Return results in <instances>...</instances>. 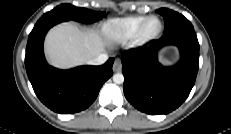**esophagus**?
<instances>
[{"instance_id":"34e87169","label":"esophagus","mask_w":231,"mask_h":134,"mask_svg":"<svg viewBox=\"0 0 231 134\" xmlns=\"http://www.w3.org/2000/svg\"><path fill=\"white\" fill-rule=\"evenodd\" d=\"M121 69H122L121 61L119 59H116L114 64H113V71L114 72H120Z\"/></svg>"}]
</instances>
